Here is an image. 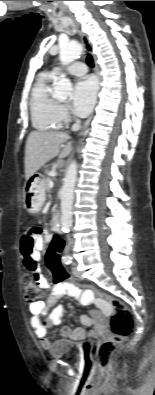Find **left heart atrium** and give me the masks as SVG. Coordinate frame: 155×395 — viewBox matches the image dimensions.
Instances as JSON below:
<instances>
[{
  "label": "left heart atrium",
  "mask_w": 155,
  "mask_h": 395,
  "mask_svg": "<svg viewBox=\"0 0 155 395\" xmlns=\"http://www.w3.org/2000/svg\"><path fill=\"white\" fill-rule=\"evenodd\" d=\"M98 84L95 78L87 77L78 81L73 89L72 108L81 117L88 115L95 103Z\"/></svg>",
  "instance_id": "39dd6f15"
}]
</instances>
